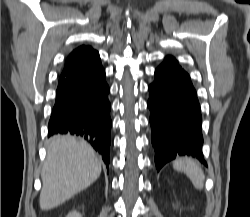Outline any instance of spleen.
Masks as SVG:
<instances>
[{
  "label": "spleen",
  "mask_w": 250,
  "mask_h": 217,
  "mask_svg": "<svg viewBox=\"0 0 250 217\" xmlns=\"http://www.w3.org/2000/svg\"><path fill=\"white\" fill-rule=\"evenodd\" d=\"M173 168L185 173L197 189L203 188L204 174L202 169L191 158H179L173 162Z\"/></svg>",
  "instance_id": "obj_1"
}]
</instances>
